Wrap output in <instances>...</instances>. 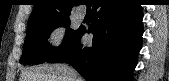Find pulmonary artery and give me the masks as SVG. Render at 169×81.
<instances>
[{"label":"pulmonary artery","mask_w":169,"mask_h":81,"mask_svg":"<svg viewBox=\"0 0 169 81\" xmlns=\"http://www.w3.org/2000/svg\"><path fill=\"white\" fill-rule=\"evenodd\" d=\"M78 14H79L80 18H84L85 17V11H83V10L79 11Z\"/></svg>","instance_id":"pulmonary-artery-1"}]
</instances>
